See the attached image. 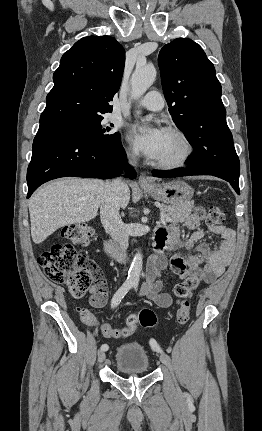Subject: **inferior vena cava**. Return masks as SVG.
Wrapping results in <instances>:
<instances>
[{"label":"inferior vena cava","mask_w":262,"mask_h":431,"mask_svg":"<svg viewBox=\"0 0 262 431\" xmlns=\"http://www.w3.org/2000/svg\"><path fill=\"white\" fill-rule=\"evenodd\" d=\"M121 177L107 182L105 195L100 206V218L106 232L116 241L120 249L125 252L128 248V231L121 220L120 195L126 189Z\"/></svg>","instance_id":"1"}]
</instances>
